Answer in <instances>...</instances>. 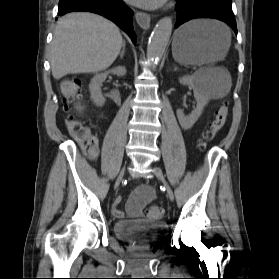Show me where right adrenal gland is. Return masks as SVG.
<instances>
[{
    "mask_svg": "<svg viewBox=\"0 0 279 279\" xmlns=\"http://www.w3.org/2000/svg\"><path fill=\"white\" fill-rule=\"evenodd\" d=\"M124 53H125V41H123L122 51H121V53H120V59H123Z\"/></svg>",
    "mask_w": 279,
    "mask_h": 279,
    "instance_id": "obj_1",
    "label": "right adrenal gland"
}]
</instances>
